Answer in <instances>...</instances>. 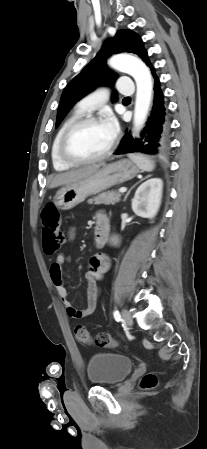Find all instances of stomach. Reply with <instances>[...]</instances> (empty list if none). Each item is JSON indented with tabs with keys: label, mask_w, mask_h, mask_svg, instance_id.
<instances>
[{
	"label": "stomach",
	"mask_w": 207,
	"mask_h": 449,
	"mask_svg": "<svg viewBox=\"0 0 207 449\" xmlns=\"http://www.w3.org/2000/svg\"><path fill=\"white\" fill-rule=\"evenodd\" d=\"M138 172L137 165L129 159L104 165L91 175L60 188L53 199L54 205L61 210H70L91 195L133 179Z\"/></svg>",
	"instance_id": "stomach-1"
}]
</instances>
